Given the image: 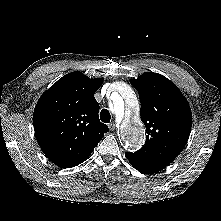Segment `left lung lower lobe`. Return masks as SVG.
Instances as JSON below:
<instances>
[{
  "label": "left lung lower lobe",
  "mask_w": 221,
  "mask_h": 221,
  "mask_svg": "<svg viewBox=\"0 0 221 221\" xmlns=\"http://www.w3.org/2000/svg\"><path fill=\"white\" fill-rule=\"evenodd\" d=\"M125 155L131 165L142 173L151 174L158 172L166 167L163 164L142 159L130 152H126Z\"/></svg>",
  "instance_id": "left-lung-lower-lobe-1"
}]
</instances>
